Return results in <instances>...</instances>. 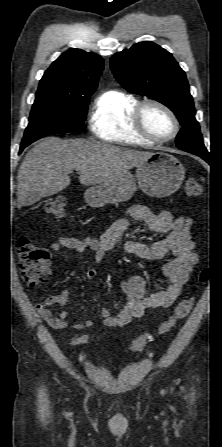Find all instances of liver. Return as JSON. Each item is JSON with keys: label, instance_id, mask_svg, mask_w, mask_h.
Instances as JSON below:
<instances>
[{"label": "liver", "instance_id": "6515ba94", "mask_svg": "<svg viewBox=\"0 0 222 447\" xmlns=\"http://www.w3.org/2000/svg\"><path fill=\"white\" fill-rule=\"evenodd\" d=\"M151 155L84 139L47 137L26 154L19 167L17 207L25 206L28 198L62 191L70 185L69 174L74 170L82 185H96L122 175Z\"/></svg>", "mask_w": 222, "mask_h": 447}]
</instances>
